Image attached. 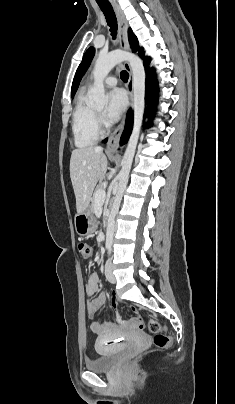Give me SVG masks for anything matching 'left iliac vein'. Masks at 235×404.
Segmentation results:
<instances>
[{
	"instance_id": "obj_1",
	"label": "left iliac vein",
	"mask_w": 235,
	"mask_h": 404,
	"mask_svg": "<svg viewBox=\"0 0 235 404\" xmlns=\"http://www.w3.org/2000/svg\"><path fill=\"white\" fill-rule=\"evenodd\" d=\"M105 275H106L107 280L110 283L114 284L116 282V278L113 274V267H112V262H111L110 258L107 260L106 265H105Z\"/></svg>"
}]
</instances>
